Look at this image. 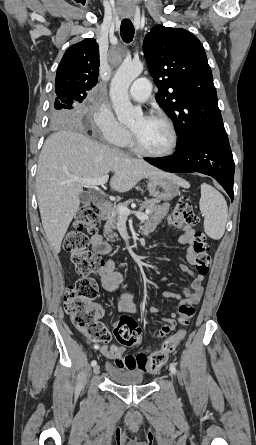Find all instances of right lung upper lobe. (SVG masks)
Wrapping results in <instances>:
<instances>
[{"mask_svg": "<svg viewBox=\"0 0 256 445\" xmlns=\"http://www.w3.org/2000/svg\"><path fill=\"white\" fill-rule=\"evenodd\" d=\"M99 76V47L95 39L70 46L56 73L55 92L70 90L82 97L96 84Z\"/></svg>", "mask_w": 256, "mask_h": 445, "instance_id": "1", "label": "right lung upper lobe"}]
</instances>
